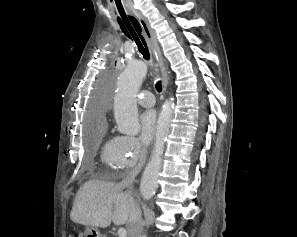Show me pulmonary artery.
<instances>
[{"label": "pulmonary artery", "mask_w": 297, "mask_h": 237, "mask_svg": "<svg viewBox=\"0 0 297 237\" xmlns=\"http://www.w3.org/2000/svg\"><path fill=\"white\" fill-rule=\"evenodd\" d=\"M137 101L141 106L144 107H152L155 104L153 94L147 90L139 93Z\"/></svg>", "instance_id": "e3ab8cb5"}]
</instances>
